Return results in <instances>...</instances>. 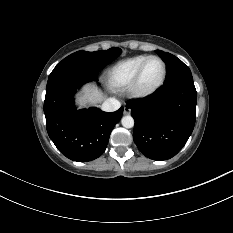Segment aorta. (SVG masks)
Listing matches in <instances>:
<instances>
[{"mask_svg":"<svg viewBox=\"0 0 233 233\" xmlns=\"http://www.w3.org/2000/svg\"><path fill=\"white\" fill-rule=\"evenodd\" d=\"M121 123L125 128H132L134 126V119L132 116L127 115L121 119Z\"/></svg>","mask_w":233,"mask_h":233,"instance_id":"1","label":"aorta"}]
</instances>
